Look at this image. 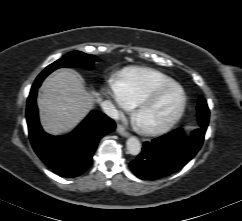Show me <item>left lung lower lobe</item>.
<instances>
[{
  "label": "left lung lower lobe",
  "mask_w": 242,
  "mask_h": 221,
  "mask_svg": "<svg viewBox=\"0 0 242 221\" xmlns=\"http://www.w3.org/2000/svg\"><path fill=\"white\" fill-rule=\"evenodd\" d=\"M208 121L203 120L188 136L178 128L145 142L142 152L130 163L132 172L140 179L154 180L181 169L200 150Z\"/></svg>",
  "instance_id": "obj_1"
}]
</instances>
